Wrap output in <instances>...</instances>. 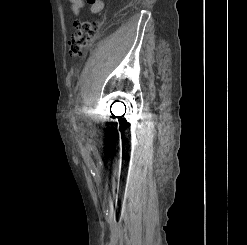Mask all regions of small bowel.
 Wrapping results in <instances>:
<instances>
[{
    "label": "small bowel",
    "mask_w": 247,
    "mask_h": 245,
    "mask_svg": "<svg viewBox=\"0 0 247 245\" xmlns=\"http://www.w3.org/2000/svg\"><path fill=\"white\" fill-rule=\"evenodd\" d=\"M85 1L90 5V12L92 14H99L104 7L103 0H69L71 10L76 17H79L85 7Z\"/></svg>",
    "instance_id": "obj_1"
}]
</instances>
